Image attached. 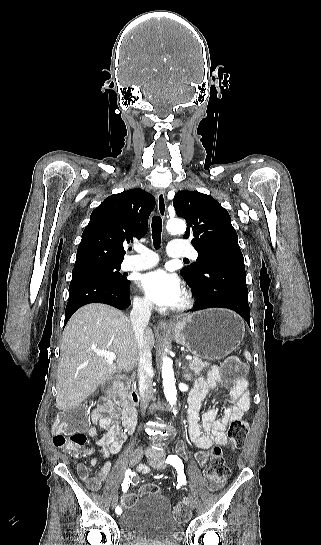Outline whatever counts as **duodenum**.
Returning <instances> with one entry per match:
<instances>
[{
    "instance_id": "410a0bca",
    "label": "duodenum",
    "mask_w": 321,
    "mask_h": 545,
    "mask_svg": "<svg viewBox=\"0 0 321 545\" xmlns=\"http://www.w3.org/2000/svg\"><path fill=\"white\" fill-rule=\"evenodd\" d=\"M107 393V399L121 407L122 409V425L126 432L132 434L137 423V412L135 408L128 402L125 391L124 382L121 379L108 381L104 385Z\"/></svg>"
}]
</instances>
